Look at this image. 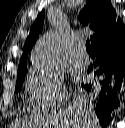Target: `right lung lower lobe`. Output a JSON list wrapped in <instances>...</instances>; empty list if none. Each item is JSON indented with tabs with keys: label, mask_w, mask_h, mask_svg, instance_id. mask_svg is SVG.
<instances>
[{
	"label": "right lung lower lobe",
	"mask_w": 125,
	"mask_h": 128,
	"mask_svg": "<svg viewBox=\"0 0 125 128\" xmlns=\"http://www.w3.org/2000/svg\"><path fill=\"white\" fill-rule=\"evenodd\" d=\"M96 54L94 65L89 66L97 78V85L101 89L100 100L96 104L95 113L100 124L107 126L111 120L110 113L119 106L117 92L125 77V25L123 22L103 35L93 45ZM88 93L92 92V85L83 86Z\"/></svg>",
	"instance_id": "right-lung-lower-lobe-1"
}]
</instances>
